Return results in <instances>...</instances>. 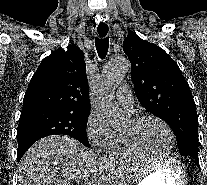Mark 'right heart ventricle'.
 Wrapping results in <instances>:
<instances>
[{
    "label": "right heart ventricle",
    "mask_w": 207,
    "mask_h": 185,
    "mask_svg": "<svg viewBox=\"0 0 207 185\" xmlns=\"http://www.w3.org/2000/svg\"><path fill=\"white\" fill-rule=\"evenodd\" d=\"M104 149L106 158L117 163H128L147 159L133 152L127 146L122 133L115 132L111 141Z\"/></svg>",
    "instance_id": "1"
}]
</instances>
